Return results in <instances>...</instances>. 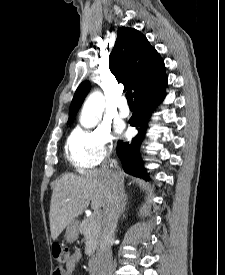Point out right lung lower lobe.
<instances>
[{"mask_svg":"<svg viewBox=\"0 0 225 275\" xmlns=\"http://www.w3.org/2000/svg\"><path fill=\"white\" fill-rule=\"evenodd\" d=\"M166 86L167 77L164 75L156 79L146 90L135 97L137 112L132 115L129 123L137 128L138 134L131 142L119 141L117 143L116 151L122 162L123 169L133 176L148 177L140 159L139 146L145 136L148 119L154 106L159 104L165 97Z\"/></svg>","mask_w":225,"mask_h":275,"instance_id":"98d812e1","label":"right lung lower lobe"}]
</instances>
